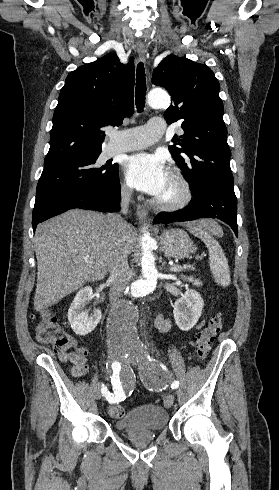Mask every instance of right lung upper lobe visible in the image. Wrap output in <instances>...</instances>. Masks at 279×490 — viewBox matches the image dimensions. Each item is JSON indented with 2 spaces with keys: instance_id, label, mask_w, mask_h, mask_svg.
<instances>
[{
  "instance_id": "1",
  "label": "right lung upper lobe",
  "mask_w": 279,
  "mask_h": 490,
  "mask_svg": "<svg viewBox=\"0 0 279 490\" xmlns=\"http://www.w3.org/2000/svg\"><path fill=\"white\" fill-rule=\"evenodd\" d=\"M133 92V59L123 65L113 53L69 73L53 115L45 162L101 152V128L119 126L132 115Z\"/></svg>"
}]
</instances>
